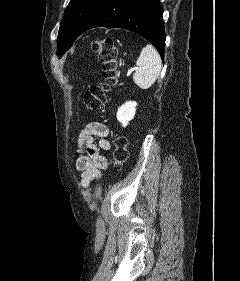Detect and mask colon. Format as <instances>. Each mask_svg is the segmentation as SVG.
Listing matches in <instances>:
<instances>
[{"label": "colon", "instance_id": "1", "mask_svg": "<svg viewBox=\"0 0 240 281\" xmlns=\"http://www.w3.org/2000/svg\"><path fill=\"white\" fill-rule=\"evenodd\" d=\"M102 67L103 81L92 86L84 95L86 108L91 112H98L107 101L111 91L119 84V68L117 61V47L112 38H103L93 44ZM127 140L117 136L114 140L113 164L119 169L128 159Z\"/></svg>", "mask_w": 240, "mask_h": 281}]
</instances>
